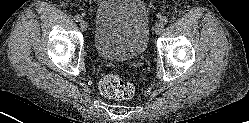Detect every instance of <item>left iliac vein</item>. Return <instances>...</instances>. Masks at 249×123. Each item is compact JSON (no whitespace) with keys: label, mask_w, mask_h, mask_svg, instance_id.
<instances>
[{"label":"left iliac vein","mask_w":249,"mask_h":123,"mask_svg":"<svg viewBox=\"0 0 249 123\" xmlns=\"http://www.w3.org/2000/svg\"><path fill=\"white\" fill-rule=\"evenodd\" d=\"M163 29H164L163 23L159 22V23H157V24L155 25V33H156V34H158V35L161 34L162 31H163Z\"/></svg>","instance_id":"4c4485c4"}]
</instances>
